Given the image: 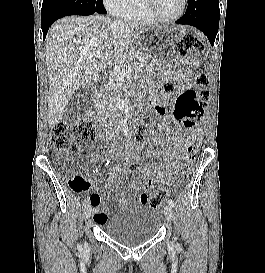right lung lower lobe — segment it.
Instances as JSON below:
<instances>
[{
	"label": "right lung lower lobe",
	"instance_id": "1",
	"mask_svg": "<svg viewBox=\"0 0 265 273\" xmlns=\"http://www.w3.org/2000/svg\"><path fill=\"white\" fill-rule=\"evenodd\" d=\"M94 13H98V12L81 11L74 8L63 7V6H55V7L47 8L45 10H41V27H42L44 39L46 37L49 27L57 19L65 17V16H69V15L87 16Z\"/></svg>",
	"mask_w": 265,
	"mask_h": 273
}]
</instances>
